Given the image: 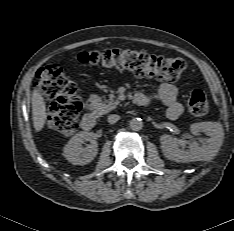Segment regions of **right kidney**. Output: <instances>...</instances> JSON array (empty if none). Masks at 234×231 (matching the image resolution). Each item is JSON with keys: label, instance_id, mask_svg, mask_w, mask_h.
I'll return each mask as SVG.
<instances>
[{"label": "right kidney", "instance_id": "1", "mask_svg": "<svg viewBox=\"0 0 234 231\" xmlns=\"http://www.w3.org/2000/svg\"><path fill=\"white\" fill-rule=\"evenodd\" d=\"M97 136L92 132L81 131L74 135L63 150L64 157L73 165H86L90 163L98 153ZM90 142L87 147L82 144Z\"/></svg>", "mask_w": 234, "mask_h": 231}]
</instances>
